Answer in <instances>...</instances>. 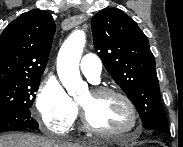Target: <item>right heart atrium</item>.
Instances as JSON below:
<instances>
[{
    "label": "right heart atrium",
    "mask_w": 183,
    "mask_h": 147,
    "mask_svg": "<svg viewBox=\"0 0 183 147\" xmlns=\"http://www.w3.org/2000/svg\"><path fill=\"white\" fill-rule=\"evenodd\" d=\"M35 104L43 127L56 134H65L78 115L76 102L52 76L41 82Z\"/></svg>",
    "instance_id": "right-heart-atrium-1"
}]
</instances>
